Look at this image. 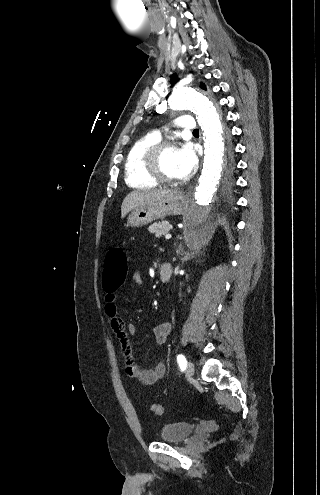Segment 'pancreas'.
<instances>
[{
    "instance_id": "obj_1",
    "label": "pancreas",
    "mask_w": 320,
    "mask_h": 495,
    "mask_svg": "<svg viewBox=\"0 0 320 495\" xmlns=\"http://www.w3.org/2000/svg\"><path fill=\"white\" fill-rule=\"evenodd\" d=\"M172 229V225L168 221L162 220L158 223H153L149 226L148 230L150 233L155 234L156 237H161L162 235H167Z\"/></svg>"
}]
</instances>
